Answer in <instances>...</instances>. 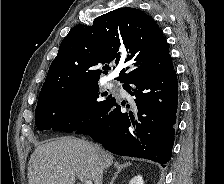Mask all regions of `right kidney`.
<instances>
[{
    "label": "right kidney",
    "mask_w": 224,
    "mask_h": 184,
    "mask_svg": "<svg viewBox=\"0 0 224 184\" xmlns=\"http://www.w3.org/2000/svg\"><path fill=\"white\" fill-rule=\"evenodd\" d=\"M129 184H144L143 179L140 175L135 176L134 178L131 179Z\"/></svg>",
    "instance_id": "1"
}]
</instances>
